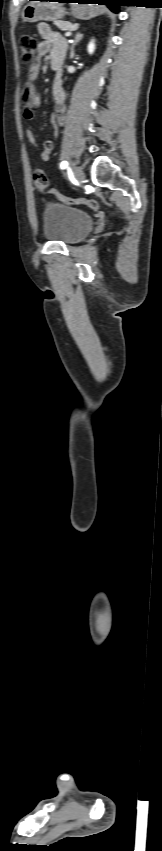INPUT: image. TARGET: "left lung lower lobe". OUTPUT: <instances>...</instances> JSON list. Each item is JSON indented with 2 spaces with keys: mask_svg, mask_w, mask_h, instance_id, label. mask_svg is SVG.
Returning a JSON list of instances; mask_svg holds the SVG:
<instances>
[{
  "mask_svg": "<svg viewBox=\"0 0 162 851\" xmlns=\"http://www.w3.org/2000/svg\"><path fill=\"white\" fill-rule=\"evenodd\" d=\"M48 1V0H43ZM59 2H69V0H59ZM82 3H94L99 5H107L112 11L118 12L119 6H122L124 0H82Z\"/></svg>",
  "mask_w": 162,
  "mask_h": 851,
  "instance_id": "left-lung-lower-lobe-1",
  "label": "left lung lower lobe"
}]
</instances>
